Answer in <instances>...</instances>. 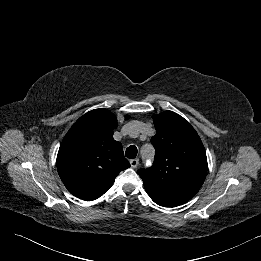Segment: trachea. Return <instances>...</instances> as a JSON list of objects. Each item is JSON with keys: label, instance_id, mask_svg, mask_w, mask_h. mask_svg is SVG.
<instances>
[{"label": "trachea", "instance_id": "1", "mask_svg": "<svg viewBox=\"0 0 261 261\" xmlns=\"http://www.w3.org/2000/svg\"><path fill=\"white\" fill-rule=\"evenodd\" d=\"M125 156L129 159H134L137 156V147L135 145H130L126 149Z\"/></svg>", "mask_w": 261, "mask_h": 261}]
</instances>
